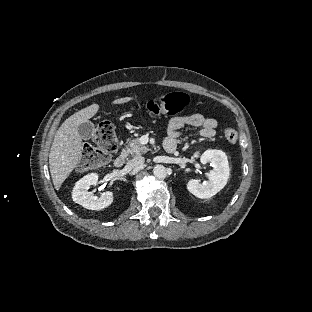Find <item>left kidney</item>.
Here are the masks:
<instances>
[{"instance_id": "1", "label": "left kidney", "mask_w": 312, "mask_h": 312, "mask_svg": "<svg viewBox=\"0 0 312 312\" xmlns=\"http://www.w3.org/2000/svg\"><path fill=\"white\" fill-rule=\"evenodd\" d=\"M198 156V152L194 154ZM202 164L210 163L213 169L207 173L208 181L200 183L197 179L189 180L187 189L198 198H210L218 193L229 178V164L226 154L221 150H206L200 157Z\"/></svg>"}]
</instances>
